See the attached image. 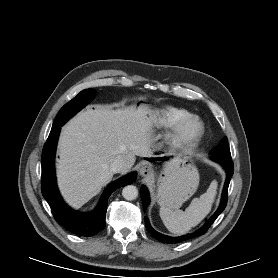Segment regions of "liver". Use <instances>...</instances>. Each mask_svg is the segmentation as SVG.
<instances>
[{"label":"liver","mask_w":278,"mask_h":278,"mask_svg":"<svg viewBox=\"0 0 278 278\" xmlns=\"http://www.w3.org/2000/svg\"><path fill=\"white\" fill-rule=\"evenodd\" d=\"M156 115L147 106L113 110L109 106L87 109L71 119L59 140L57 178L66 202L80 208L113 177L111 163L121 156L127 164L136 155L153 157L151 129Z\"/></svg>","instance_id":"liver-1"}]
</instances>
